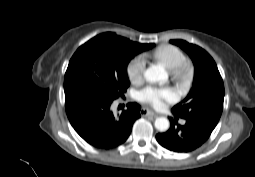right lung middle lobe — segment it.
Here are the masks:
<instances>
[{
    "label": "right lung middle lobe",
    "instance_id": "obj_1",
    "mask_svg": "<svg viewBox=\"0 0 255 177\" xmlns=\"http://www.w3.org/2000/svg\"><path fill=\"white\" fill-rule=\"evenodd\" d=\"M154 44L130 41L114 46L97 36L80 46L72 56L64 78V91L87 89L117 99L130 85L127 65L137 54Z\"/></svg>",
    "mask_w": 255,
    "mask_h": 177
}]
</instances>
